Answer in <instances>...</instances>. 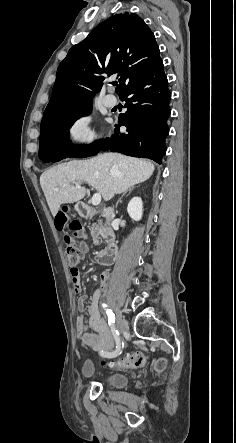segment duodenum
<instances>
[{
    "label": "duodenum",
    "mask_w": 236,
    "mask_h": 443,
    "mask_svg": "<svg viewBox=\"0 0 236 443\" xmlns=\"http://www.w3.org/2000/svg\"><path fill=\"white\" fill-rule=\"evenodd\" d=\"M78 212L81 217H95L101 216L105 219L113 218L117 211L114 208L107 207L101 210H97L91 203H83L78 207ZM105 239L108 242V246L103 250L96 253V260L100 265L109 266L115 261L117 248H116V234L111 229L104 231Z\"/></svg>",
    "instance_id": "410a0bca"
}]
</instances>
